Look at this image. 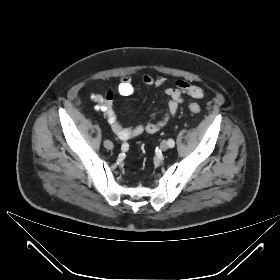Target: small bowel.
Masks as SVG:
<instances>
[{
	"label": "small bowel",
	"mask_w": 280,
	"mask_h": 280,
	"mask_svg": "<svg viewBox=\"0 0 280 280\" xmlns=\"http://www.w3.org/2000/svg\"><path fill=\"white\" fill-rule=\"evenodd\" d=\"M143 83L146 86L162 87L165 83V78L160 76L154 77L147 74L143 77ZM116 92L122 96L131 95L134 92L131 78L124 77L115 90L110 89L105 95L92 93L90 98L96 104V108L104 113L112 131L121 140L137 137L144 132L151 134L158 132L170 117L176 116L179 106L184 102L185 95L194 99H200L204 96V91L199 86L185 80L176 81L173 86L166 87L164 90L169 99L165 112L158 119L154 118L152 121L145 124L125 126L119 121L113 107V99Z\"/></svg>",
	"instance_id": "c3829d8e"
}]
</instances>
